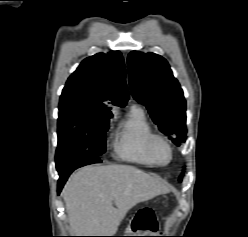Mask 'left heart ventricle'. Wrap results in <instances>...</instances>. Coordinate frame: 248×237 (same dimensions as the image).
Segmentation results:
<instances>
[{
  "instance_id": "b2bd125f",
  "label": "left heart ventricle",
  "mask_w": 248,
  "mask_h": 237,
  "mask_svg": "<svg viewBox=\"0 0 248 237\" xmlns=\"http://www.w3.org/2000/svg\"><path fill=\"white\" fill-rule=\"evenodd\" d=\"M154 154L161 162H166L169 158L168 149L161 142H156L154 145Z\"/></svg>"
}]
</instances>
